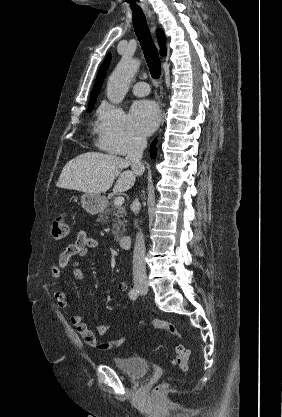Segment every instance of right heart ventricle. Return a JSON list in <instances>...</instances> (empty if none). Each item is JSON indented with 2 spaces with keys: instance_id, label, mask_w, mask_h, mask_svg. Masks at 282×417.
Returning a JSON list of instances; mask_svg holds the SVG:
<instances>
[{
  "instance_id": "1",
  "label": "right heart ventricle",
  "mask_w": 282,
  "mask_h": 417,
  "mask_svg": "<svg viewBox=\"0 0 282 417\" xmlns=\"http://www.w3.org/2000/svg\"><path fill=\"white\" fill-rule=\"evenodd\" d=\"M104 112H105V107H102V108H100V109L98 110V115H99V118H102V116H103Z\"/></svg>"
}]
</instances>
